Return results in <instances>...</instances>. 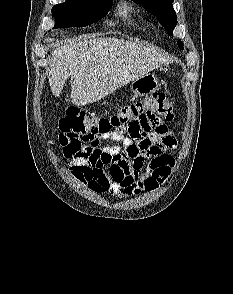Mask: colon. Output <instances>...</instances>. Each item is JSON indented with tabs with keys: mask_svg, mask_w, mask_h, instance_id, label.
I'll return each instance as SVG.
<instances>
[{
	"mask_svg": "<svg viewBox=\"0 0 233 294\" xmlns=\"http://www.w3.org/2000/svg\"><path fill=\"white\" fill-rule=\"evenodd\" d=\"M133 110H160L161 117L171 120L173 102L164 93H154L143 102L122 107L111 116L87 113L84 110L69 106L59 120L60 133L58 144L63 156L67 159L87 156H100L98 145L102 140L111 139L114 134L126 132L121 120H131Z\"/></svg>",
	"mask_w": 233,
	"mask_h": 294,
	"instance_id": "colon-1",
	"label": "colon"
}]
</instances>
